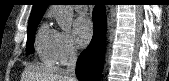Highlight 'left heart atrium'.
Wrapping results in <instances>:
<instances>
[{"instance_id": "39dd6f15", "label": "left heart atrium", "mask_w": 169, "mask_h": 81, "mask_svg": "<svg viewBox=\"0 0 169 81\" xmlns=\"http://www.w3.org/2000/svg\"><path fill=\"white\" fill-rule=\"evenodd\" d=\"M73 35L79 46H85L92 36L91 21L85 16L78 17L73 24Z\"/></svg>"}]
</instances>
